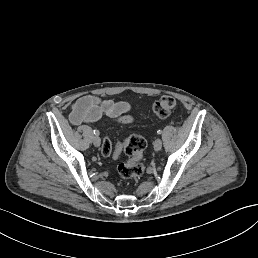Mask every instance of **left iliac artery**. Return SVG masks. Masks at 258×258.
Returning a JSON list of instances; mask_svg holds the SVG:
<instances>
[{
    "label": "left iliac artery",
    "mask_w": 258,
    "mask_h": 258,
    "mask_svg": "<svg viewBox=\"0 0 258 258\" xmlns=\"http://www.w3.org/2000/svg\"><path fill=\"white\" fill-rule=\"evenodd\" d=\"M161 133H162V130L159 129V130L157 131V134L160 135Z\"/></svg>",
    "instance_id": "obj_1"
}]
</instances>
